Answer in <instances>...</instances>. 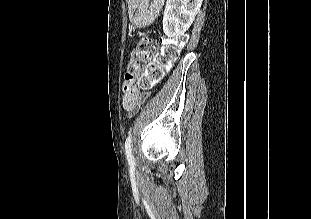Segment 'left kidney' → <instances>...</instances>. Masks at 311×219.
Masks as SVG:
<instances>
[{"label":"left kidney","instance_id":"1","mask_svg":"<svg viewBox=\"0 0 311 219\" xmlns=\"http://www.w3.org/2000/svg\"><path fill=\"white\" fill-rule=\"evenodd\" d=\"M203 0H167L163 31L168 37L184 34L193 23Z\"/></svg>","mask_w":311,"mask_h":219}]
</instances>
